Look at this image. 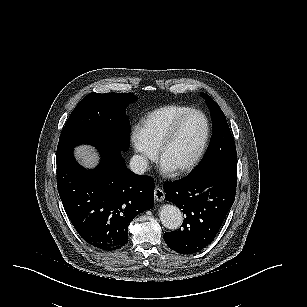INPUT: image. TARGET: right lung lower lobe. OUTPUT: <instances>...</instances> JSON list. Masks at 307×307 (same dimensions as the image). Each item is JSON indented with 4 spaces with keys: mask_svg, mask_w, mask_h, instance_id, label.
I'll return each instance as SVG.
<instances>
[{
    "mask_svg": "<svg viewBox=\"0 0 307 307\" xmlns=\"http://www.w3.org/2000/svg\"><path fill=\"white\" fill-rule=\"evenodd\" d=\"M100 164L82 168L73 150L57 155V188L63 207L84 241L101 250L128 241L133 218L154 206V180L127 169L121 150L97 146Z\"/></svg>",
    "mask_w": 307,
    "mask_h": 307,
    "instance_id": "98d812e1",
    "label": "right lung lower lobe"
}]
</instances>
